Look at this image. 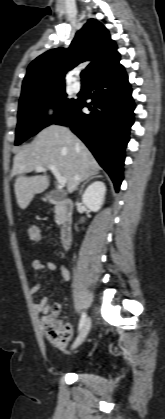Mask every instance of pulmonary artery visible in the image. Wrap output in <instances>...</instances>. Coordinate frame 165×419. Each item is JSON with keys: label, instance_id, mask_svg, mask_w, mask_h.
<instances>
[{"label": "pulmonary artery", "instance_id": "e3ab8cb5", "mask_svg": "<svg viewBox=\"0 0 165 419\" xmlns=\"http://www.w3.org/2000/svg\"><path fill=\"white\" fill-rule=\"evenodd\" d=\"M72 90L74 92H76V93L81 90V85H80V83L78 81H76V82L73 83Z\"/></svg>", "mask_w": 165, "mask_h": 419}]
</instances>
